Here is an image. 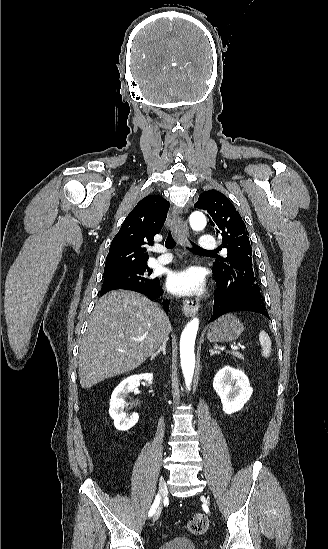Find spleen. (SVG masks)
I'll use <instances>...</instances> for the list:
<instances>
[{
	"mask_svg": "<svg viewBox=\"0 0 328 549\" xmlns=\"http://www.w3.org/2000/svg\"><path fill=\"white\" fill-rule=\"evenodd\" d=\"M259 343L262 347V357H270V353H271V341L267 335V333H265V331H260L259 333Z\"/></svg>",
	"mask_w": 328,
	"mask_h": 549,
	"instance_id": "3e777b00",
	"label": "spleen"
}]
</instances>
